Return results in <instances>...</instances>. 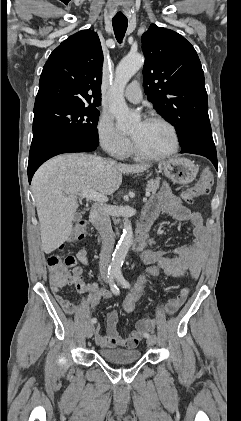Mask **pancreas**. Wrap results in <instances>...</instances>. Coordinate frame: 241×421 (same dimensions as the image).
Returning a JSON list of instances; mask_svg holds the SVG:
<instances>
[{
	"label": "pancreas",
	"instance_id": "1",
	"mask_svg": "<svg viewBox=\"0 0 241 421\" xmlns=\"http://www.w3.org/2000/svg\"><path fill=\"white\" fill-rule=\"evenodd\" d=\"M159 186H160V178L151 179L147 182L148 191L152 192V194L156 193V191L159 189Z\"/></svg>",
	"mask_w": 241,
	"mask_h": 421
}]
</instances>
